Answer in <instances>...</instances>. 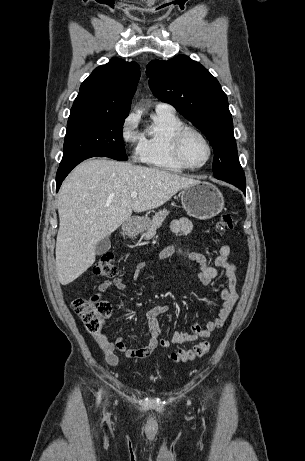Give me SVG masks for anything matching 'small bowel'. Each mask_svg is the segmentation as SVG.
I'll return each mask as SVG.
<instances>
[{
  "instance_id": "small-bowel-1",
  "label": "small bowel",
  "mask_w": 305,
  "mask_h": 461,
  "mask_svg": "<svg viewBox=\"0 0 305 461\" xmlns=\"http://www.w3.org/2000/svg\"><path fill=\"white\" fill-rule=\"evenodd\" d=\"M171 230L175 233L188 234L193 230V224L186 218L175 219L171 223ZM230 252L229 245H222L216 256L212 260H209L201 253L189 251L183 247H165L159 254L160 259H167L173 255H178L196 262L200 268L198 279L204 286H210L220 272L225 275L227 282L220 290L221 306L216 317L208 321L204 326L199 324L193 325L189 332H174L171 339L167 340L161 337L163 330L159 324V317L169 311V306L167 304H159L151 307L146 313L148 332L146 334V344L143 346L129 348L128 340L125 338L110 339L104 332L95 334L94 338L103 351L106 362L111 366L119 365L120 361L116 355V351L128 357H147L158 346L168 348L171 344L191 343L207 338L212 332L221 328L230 316L238 299V273L236 267L229 261ZM145 267L146 263L143 261L136 265L133 272L134 280L139 279ZM112 286L121 291L127 288L126 283L120 278H116L113 281L105 280L99 284L96 295L101 297Z\"/></svg>"
}]
</instances>
